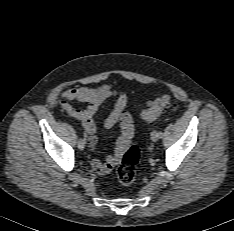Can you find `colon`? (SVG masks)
Masks as SVG:
<instances>
[{
    "label": "colon",
    "mask_w": 234,
    "mask_h": 231,
    "mask_svg": "<svg viewBox=\"0 0 234 231\" xmlns=\"http://www.w3.org/2000/svg\"><path fill=\"white\" fill-rule=\"evenodd\" d=\"M170 105L167 95H160L153 99L148 107L140 113V117L145 121L155 120ZM140 158V150L136 145L127 148L122 159L113 173L112 179L115 183L129 185L133 183L137 175V164Z\"/></svg>",
    "instance_id": "1"
}]
</instances>
